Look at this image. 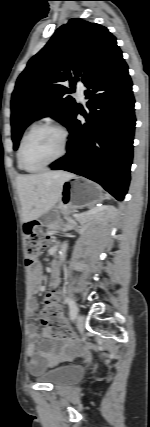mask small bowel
<instances>
[{
    "label": "small bowel",
    "instance_id": "small-bowel-1",
    "mask_svg": "<svg viewBox=\"0 0 150 427\" xmlns=\"http://www.w3.org/2000/svg\"><path fill=\"white\" fill-rule=\"evenodd\" d=\"M29 279L34 292L38 293L43 290V270L39 263L30 268ZM50 285L53 290L59 285L56 271L52 273ZM58 340L62 342V345L49 336L47 331H44V337L41 339L36 324H28L27 355L30 358L29 369L32 374H39L46 368L53 367L70 358L75 350V339L65 337L58 338Z\"/></svg>",
    "mask_w": 150,
    "mask_h": 427
}]
</instances>
